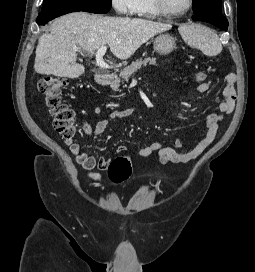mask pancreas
Returning a JSON list of instances; mask_svg holds the SVG:
<instances>
[{"label": "pancreas", "instance_id": "pancreas-1", "mask_svg": "<svg viewBox=\"0 0 255 272\" xmlns=\"http://www.w3.org/2000/svg\"><path fill=\"white\" fill-rule=\"evenodd\" d=\"M156 65V58H145V59H139L135 62H132L131 65L125 67L123 70L120 71V77L128 82L129 78L137 72L139 69H141L143 66L147 65ZM120 81H116L111 85V88L113 90H117L119 88Z\"/></svg>", "mask_w": 255, "mask_h": 272}]
</instances>
